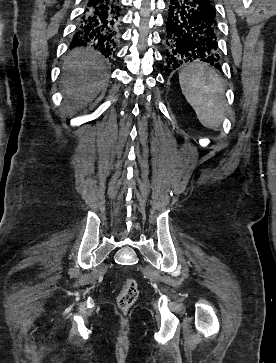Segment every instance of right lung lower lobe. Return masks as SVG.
Returning a JSON list of instances; mask_svg holds the SVG:
<instances>
[{
    "label": "right lung lower lobe",
    "instance_id": "98d812e1",
    "mask_svg": "<svg viewBox=\"0 0 276 363\" xmlns=\"http://www.w3.org/2000/svg\"><path fill=\"white\" fill-rule=\"evenodd\" d=\"M121 15L120 0H86L70 47L91 46L105 57H114Z\"/></svg>",
    "mask_w": 276,
    "mask_h": 363
}]
</instances>
